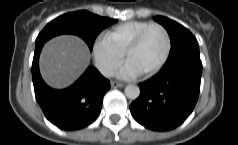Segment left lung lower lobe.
Segmentation results:
<instances>
[{
    "label": "left lung lower lobe",
    "instance_id": "1",
    "mask_svg": "<svg viewBox=\"0 0 238 145\" xmlns=\"http://www.w3.org/2000/svg\"><path fill=\"white\" fill-rule=\"evenodd\" d=\"M202 62L190 53L166 64L141 83L140 96L130 105L133 117L154 131H168L181 125L198 100Z\"/></svg>",
    "mask_w": 238,
    "mask_h": 145
}]
</instances>
